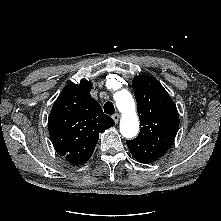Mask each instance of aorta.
<instances>
[{
    "label": "aorta",
    "instance_id": "obj_1",
    "mask_svg": "<svg viewBox=\"0 0 221 221\" xmlns=\"http://www.w3.org/2000/svg\"><path fill=\"white\" fill-rule=\"evenodd\" d=\"M114 100L122 117L120 120V132L126 138H132L139 132V118L136 113L134 99L131 93L122 89L114 94Z\"/></svg>",
    "mask_w": 221,
    "mask_h": 221
}]
</instances>
